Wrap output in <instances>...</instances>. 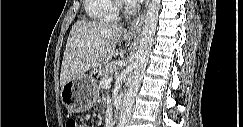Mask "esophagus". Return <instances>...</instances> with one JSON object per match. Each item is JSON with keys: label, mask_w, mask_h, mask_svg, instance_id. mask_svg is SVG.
<instances>
[{"label": "esophagus", "mask_w": 243, "mask_h": 127, "mask_svg": "<svg viewBox=\"0 0 243 127\" xmlns=\"http://www.w3.org/2000/svg\"><path fill=\"white\" fill-rule=\"evenodd\" d=\"M149 2H150V0H146L145 1L143 10L131 22V25H130L129 29L127 30L128 34L135 35V34H139L140 33L141 28H142L143 23H144L145 13H146V9H147V7L149 5Z\"/></svg>", "instance_id": "esophagus-1"}]
</instances>
